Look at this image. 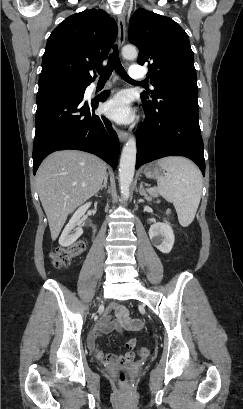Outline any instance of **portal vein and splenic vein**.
I'll return each mask as SVG.
<instances>
[{
  "label": "portal vein and splenic vein",
  "mask_w": 243,
  "mask_h": 409,
  "mask_svg": "<svg viewBox=\"0 0 243 409\" xmlns=\"http://www.w3.org/2000/svg\"><path fill=\"white\" fill-rule=\"evenodd\" d=\"M154 189H148L147 191H149V192H151V191H153Z\"/></svg>",
  "instance_id": "18ae733b"
}]
</instances>
